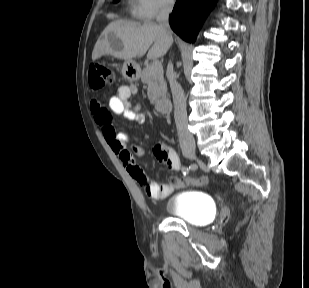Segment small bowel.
Wrapping results in <instances>:
<instances>
[{
  "label": "small bowel",
  "instance_id": "obj_1",
  "mask_svg": "<svg viewBox=\"0 0 309 288\" xmlns=\"http://www.w3.org/2000/svg\"><path fill=\"white\" fill-rule=\"evenodd\" d=\"M94 70L95 67L92 71ZM136 91L137 87L135 85L120 86L116 94L108 101V108L101 101L93 100L91 102V110L96 123L102 131L105 142L118 156L129 176L143 188L149 198L162 200L170 196L175 187L170 183H157L150 180L143 170L136 165L134 154L128 148L129 134L126 131H118L115 128L110 114V111H112L122 115L130 122L144 123L147 119L146 115L138 106L132 105L131 98ZM136 152L142 155L144 154V149L137 148ZM155 156L161 163L171 169L177 170L180 167L177 153L167 145L159 144L155 149Z\"/></svg>",
  "mask_w": 309,
  "mask_h": 288
}]
</instances>
